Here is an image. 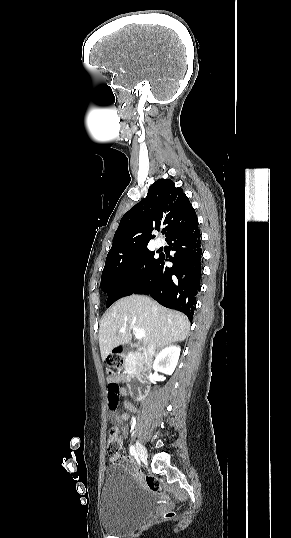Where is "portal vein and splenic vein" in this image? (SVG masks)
I'll list each match as a JSON object with an SVG mask.
<instances>
[{"label": "portal vein and splenic vein", "mask_w": 291, "mask_h": 538, "mask_svg": "<svg viewBox=\"0 0 291 538\" xmlns=\"http://www.w3.org/2000/svg\"><path fill=\"white\" fill-rule=\"evenodd\" d=\"M129 328H131V329L134 330V332H135V337H136L138 340H140V339L143 338V336H144V330H143V329L138 328V327H136V326H134V325L129 326ZM126 329H127V327H126V326H123V327L120 328V332H125Z\"/></svg>", "instance_id": "obj_1"}]
</instances>
